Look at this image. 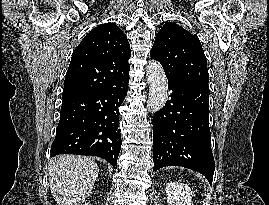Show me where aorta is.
I'll list each match as a JSON object with an SVG mask.
<instances>
[{
  "label": "aorta",
  "mask_w": 269,
  "mask_h": 205,
  "mask_svg": "<svg viewBox=\"0 0 269 205\" xmlns=\"http://www.w3.org/2000/svg\"><path fill=\"white\" fill-rule=\"evenodd\" d=\"M149 97L147 109L158 112L165 105L168 98V82L162 66L157 61H150L146 66Z\"/></svg>",
  "instance_id": "obj_1"
}]
</instances>
